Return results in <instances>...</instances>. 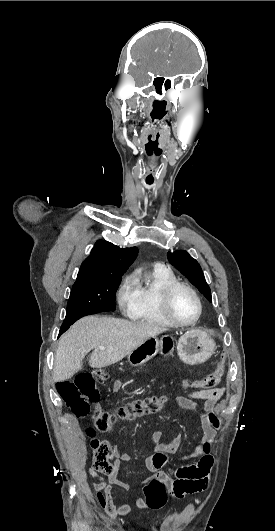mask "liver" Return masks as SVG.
I'll list each match as a JSON object with an SVG mask.
<instances>
[{"label":"liver","instance_id":"liver-1","mask_svg":"<svg viewBox=\"0 0 275 531\" xmlns=\"http://www.w3.org/2000/svg\"><path fill=\"white\" fill-rule=\"evenodd\" d=\"M168 329L154 323L125 321L114 317H83L62 335L55 355L53 379H71L82 367V361L92 349L90 367L101 369L122 361L132 349L149 337ZM99 347H105L100 351Z\"/></svg>","mask_w":275,"mask_h":531}]
</instances>
